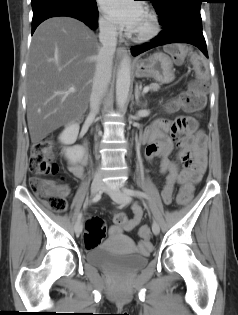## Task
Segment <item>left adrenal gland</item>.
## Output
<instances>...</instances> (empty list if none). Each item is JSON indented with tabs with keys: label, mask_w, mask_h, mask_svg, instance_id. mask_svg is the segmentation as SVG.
Listing matches in <instances>:
<instances>
[{
	"label": "left adrenal gland",
	"mask_w": 238,
	"mask_h": 315,
	"mask_svg": "<svg viewBox=\"0 0 238 315\" xmlns=\"http://www.w3.org/2000/svg\"><path fill=\"white\" fill-rule=\"evenodd\" d=\"M143 96L144 97V93L141 91V87L138 86V83H136L135 85V100L137 105L139 104V97ZM144 106H146V103L144 104Z\"/></svg>",
	"instance_id": "a2214340"
}]
</instances>
